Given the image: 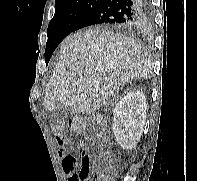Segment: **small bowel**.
<instances>
[{
  "instance_id": "c3829d8e",
  "label": "small bowel",
  "mask_w": 197,
  "mask_h": 181,
  "mask_svg": "<svg viewBox=\"0 0 197 181\" xmlns=\"http://www.w3.org/2000/svg\"><path fill=\"white\" fill-rule=\"evenodd\" d=\"M59 143L63 145V140ZM85 152V151H84ZM58 157L62 160V168L67 175L68 181H78V177L75 174L77 159L74 155L68 153L64 146H61L57 152Z\"/></svg>"
}]
</instances>
